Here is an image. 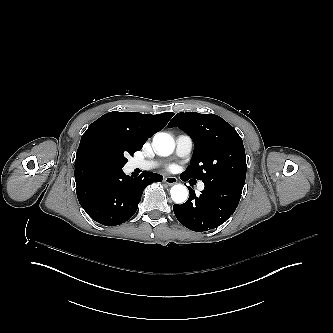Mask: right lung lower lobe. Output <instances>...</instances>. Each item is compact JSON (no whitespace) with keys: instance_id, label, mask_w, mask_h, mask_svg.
<instances>
[{"instance_id":"98d812e1","label":"right lung lower lobe","mask_w":333,"mask_h":333,"mask_svg":"<svg viewBox=\"0 0 333 333\" xmlns=\"http://www.w3.org/2000/svg\"><path fill=\"white\" fill-rule=\"evenodd\" d=\"M163 177L143 172L136 178L122 168L107 167L91 158H76V194L85 212L96 222L115 226L130 219L138 208L145 187Z\"/></svg>"}]
</instances>
